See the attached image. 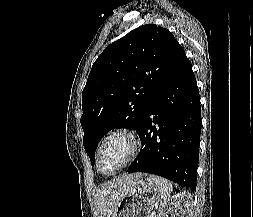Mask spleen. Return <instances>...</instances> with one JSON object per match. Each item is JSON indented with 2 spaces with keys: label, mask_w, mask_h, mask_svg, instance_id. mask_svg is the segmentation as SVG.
Returning <instances> with one entry per match:
<instances>
[{
  "label": "spleen",
  "mask_w": 253,
  "mask_h": 217,
  "mask_svg": "<svg viewBox=\"0 0 253 217\" xmlns=\"http://www.w3.org/2000/svg\"><path fill=\"white\" fill-rule=\"evenodd\" d=\"M150 178L156 183L159 189V200L166 202L173 191L172 184L165 178L151 175Z\"/></svg>",
  "instance_id": "1"
}]
</instances>
